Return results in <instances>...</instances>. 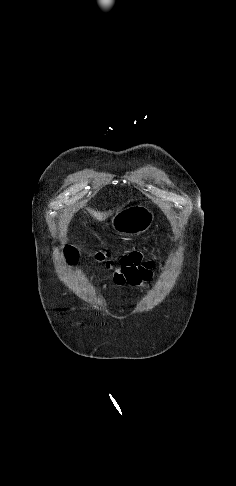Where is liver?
Returning <instances> with one entry per match:
<instances>
[{
    "label": "liver",
    "mask_w": 236,
    "mask_h": 486,
    "mask_svg": "<svg viewBox=\"0 0 236 486\" xmlns=\"http://www.w3.org/2000/svg\"><path fill=\"white\" fill-rule=\"evenodd\" d=\"M87 210L98 221H104L109 216V214H111L107 212L95 211L93 209H87Z\"/></svg>",
    "instance_id": "1"
}]
</instances>
